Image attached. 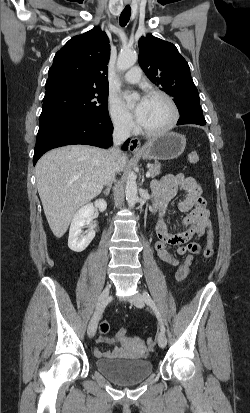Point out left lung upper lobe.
<instances>
[{"mask_svg":"<svg viewBox=\"0 0 250 413\" xmlns=\"http://www.w3.org/2000/svg\"><path fill=\"white\" fill-rule=\"evenodd\" d=\"M138 45L141 68L153 83L174 98L179 113H203L189 65L175 45L149 34L141 37Z\"/></svg>","mask_w":250,"mask_h":413,"instance_id":"5c2ea615","label":"left lung upper lobe"}]
</instances>
